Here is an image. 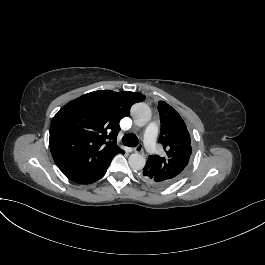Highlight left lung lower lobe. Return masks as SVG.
<instances>
[{"instance_id":"left-lung-lower-lobe-1","label":"left lung lower lobe","mask_w":265,"mask_h":265,"mask_svg":"<svg viewBox=\"0 0 265 265\" xmlns=\"http://www.w3.org/2000/svg\"><path fill=\"white\" fill-rule=\"evenodd\" d=\"M142 177H143V179H144L146 182H148V183H150V184L157 185V186H161L160 184H158V183L155 181L156 179H154V178L151 177L150 173H149L148 170L145 169V168L143 169Z\"/></svg>"}]
</instances>
